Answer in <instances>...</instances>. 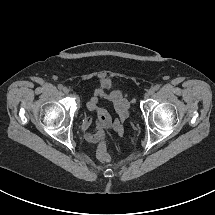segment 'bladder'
<instances>
[{
  "mask_svg": "<svg viewBox=\"0 0 215 215\" xmlns=\"http://www.w3.org/2000/svg\"><path fill=\"white\" fill-rule=\"evenodd\" d=\"M106 84H107V82H103L101 85L104 86V85H106Z\"/></svg>",
  "mask_w": 215,
  "mask_h": 215,
  "instance_id": "1",
  "label": "bladder"
}]
</instances>
